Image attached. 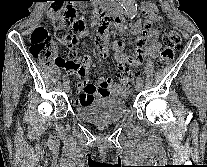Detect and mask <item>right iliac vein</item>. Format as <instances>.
Segmentation results:
<instances>
[{
    "mask_svg": "<svg viewBox=\"0 0 207 167\" xmlns=\"http://www.w3.org/2000/svg\"><path fill=\"white\" fill-rule=\"evenodd\" d=\"M64 90H65L66 92H68V91L70 90V86H69V84H65V85H64Z\"/></svg>",
    "mask_w": 207,
    "mask_h": 167,
    "instance_id": "63e3f726",
    "label": "right iliac vein"
}]
</instances>
